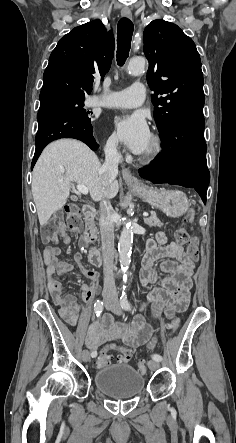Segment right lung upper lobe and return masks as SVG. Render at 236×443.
<instances>
[{"label": "right lung upper lobe", "mask_w": 236, "mask_h": 443, "mask_svg": "<svg viewBox=\"0 0 236 443\" xmlns=\"http://www.w3.org/2000/svg\"><path fill=\"white\" fill-rule=\"evenodd\" d=\"M114 48L113 34L100 20L72 29L50 55L40 101L56 94H90L94 77L100 75L103 79L110 69Z\"/></svg>", "instance_id": "1"}]
</instances>
